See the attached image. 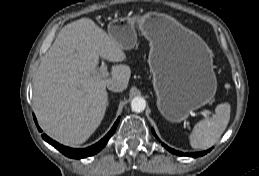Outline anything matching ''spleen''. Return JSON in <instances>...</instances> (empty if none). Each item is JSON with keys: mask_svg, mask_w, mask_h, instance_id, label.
I'll use <instances>...</instances> for the list:
<instances>
[{"mask_svg": "<svg viewBox=\"0 0 259 176\" xmlns=\"http://www.w3.org/2000/svg\"><path fill=\"white\" fill-rule=\"evenodd\" d=\"M215 112L212 119L199 121L189 135L190 145L194 149L205 150L209 148L217 142L225 131L230 119V104H219Z\"/></svg>", "mask_w": 259, "mask_h": 176, "instance_id": "1", "label": "spleen"}]
</instances>
